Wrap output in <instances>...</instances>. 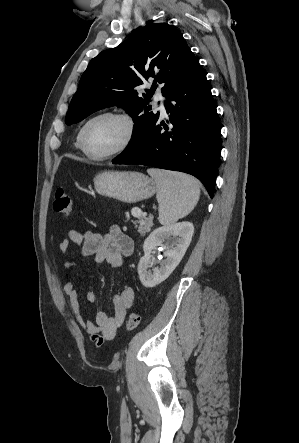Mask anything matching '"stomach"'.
Instances as JSON below:
<instances>
[{"instance_id":"obj_1","label":"stomach","mask_w":299,"mask_h":443,"mask_svg":"<svg viewBox=\"0 0 299 443\" xmlns=\"http://www.w3.org/2000/svg\"><path fill=\"white\" fill-rule=\"evenodd\" d=\"M96 191L126 203L150 198L157 191L156 182L135 171H105L95 176Z\"/></svg>"}]
</instances>
